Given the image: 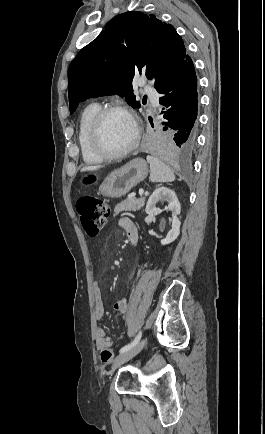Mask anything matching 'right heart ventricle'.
Instances as JSON below:
<instances>
[{
  "label": "right heart ventricle",
  "instance_id": "right-heart-ventricle-1",
  "mask_svg": "<svg viewBox=\"0 0 265 434\" xmlns=\"http://www.w3.org/2000/svg\"><path fill=\"white\" fill-rule=\"evenodd\" d=\"M100 108L99 103L91 102L82 109L79 115L77 142L81 160L87 166L99 165L104 161L94 149L91 141L93 121Z\"/></svg>",
  "mask_w": 265,
  "mask_h": 434
}]
</instances>
